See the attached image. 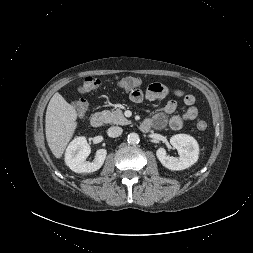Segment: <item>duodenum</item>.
<instances>
[{
    "label": "duodenum",
    "instance_id": "410a0bca",
    "mask_svg": "<svg viewBox=\"0 0 253 253\" xmlns=\"http://www.w3.org/2000/svg\"><path fill=\"white\" fill-rule=\"evenodd\" d=\"M91 126L94 128H101L105 123V118L101 113H95L90 120ZM142 131H148L151 128V124L148 121H144L140 126Z\"/></svg>",
    "mask_w": 253,
    "mask_h": 253
}]
</instances>
